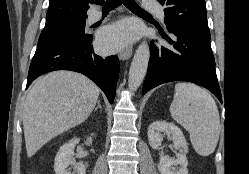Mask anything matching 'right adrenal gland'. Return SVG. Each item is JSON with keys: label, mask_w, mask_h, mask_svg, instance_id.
I'll return each mask as SVG.
<instances>
[{"label": "right adrenal gland", "mask_w": 249, "mask_h": 174, "mask_svg": "<svg viewBox=\"0 0 249 174\" xmlns=\"http://www.w3.org/2000/svg\"><path fill=\"white\" fill-rule=\"evenodd\" d=\"M97 109H102V107H101V104H100V100H98V105H97V107L95 108V110L94 111H96Z\"/></svg>", "instance_id": "obj_1"}]
</instances>
